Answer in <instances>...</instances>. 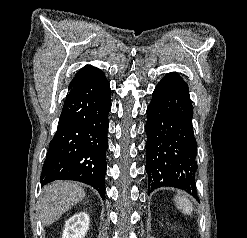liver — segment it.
Segmentation results:
<instances>
[{
	"mask_svg": "<svg viewBox=\"0 0 247 238\" xmlns=\"http://www.w3.org/2000/svg\"><path fill=\"white\" fill-rule=\"evenodd\" d=\"M85 195L84 189L75 182L55 181L46 185L40 202V217L43 225L48 226L58 220Z\"/></svg>",
	"mask_w": 247,
	"mask_h": 238,
	"instance_id": "obj_1",
	"label": "liver"
}]
</instances>
